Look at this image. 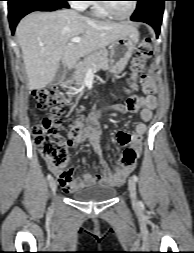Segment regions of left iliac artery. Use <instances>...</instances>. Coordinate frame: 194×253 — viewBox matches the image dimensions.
Returning <instances> with one entry per match:
<instances>
[{
    "label": "left iliac artery",
    "instance_id": "44dca946",
    "mask_svg": "<svg viewBox=\"0 0 194 253\" xmlns=\"http://www.w3.org/2000/svg\"><path fill=\"white\" fill-rule=\"evenodd\" d=\"M132 179L134 180V182H137L138 181V177L136 175H133L132 176ZM140 205H142V202H140Z\"/></svg>",
    "mask_w": 194,
    "mask_h": 253
}]
</instances>
